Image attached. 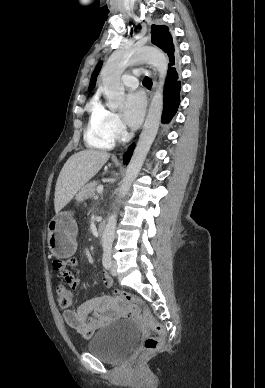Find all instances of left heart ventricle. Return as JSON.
<instances>
[{
	"mask_svg": "<svg viewBox=\"0 0 265 388\" xmlns=\"http://www.w3.org/2000/svg\"><path fill=\"white\" fill-rule=\"evenodd\" d=\"M122 81H123V80H122ZM122 87H124V91H125V92H128V91H130V90L132 89L131 86H123V84H122Z\"/></svg>",
	"mask_w": 265,
	"mask_h": 388,
	"instance_id": "1",
	"label": "left heart ventricle"
}]
</instances>
